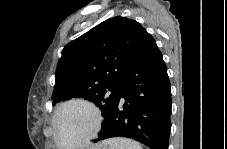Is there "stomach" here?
<instances>
[{
  "label": "stomach",
  "mask_w": 227,
  "mask_h": 149,
  "mask_svg": "<svg viewBox=\"0 0 227 149\" xmlns=\"http://www.w3.org/2000/svg\"><path fill=\"white\" fill-rule=\"evenodd\" d=\"M93 149H108V148L105 145H98L97 147H95Z\"/></svg>",
  "instance_id": "0dacf381"
}]
</instances>
